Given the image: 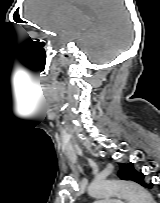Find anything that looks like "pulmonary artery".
Instances as JSON below:
<instances>
[{
    "label": "pulmonary artery",
    "instance_id": "obj_1",
    "mask_svg": "<svg viewBox=\"0 0 160 203\" xmlns=\"http://www.w3.org/2000/svg\"><path fill=\"white\" fill-rule=\"evenodd\" d=\"M94 203H122L120 200L96 201Z\"/></svg>",
    "mask_w": 160,
    "mask_h": 203
}]
</instances>
